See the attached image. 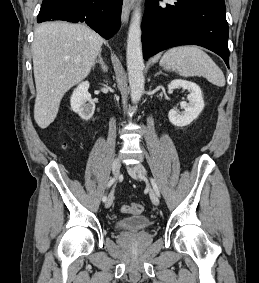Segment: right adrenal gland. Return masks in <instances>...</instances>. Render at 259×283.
Listing matches in <instances>:
<instances>
[{"label":"right adrenal gland","mask_w":259,"mask_h":283,"mask_svg":"<svg viewBox=\"0 0 259 283\" xmlns=\"http://www.w3.org/2000/svg\"><path fill=\"white\" fill-rule=\"evenodd\" d=\"M95 63H98L100 65V67H101V69L104 73H106L108 71V66L103 61L101 51L99 52L98 59L95 61Z\"/></svg>","instance_id":"1"}]
</instances>
